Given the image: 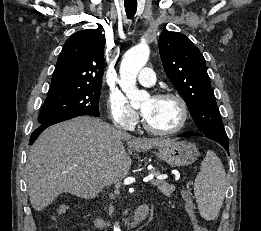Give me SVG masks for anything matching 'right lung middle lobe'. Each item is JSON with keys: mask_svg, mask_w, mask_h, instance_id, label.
<instances>
[{"mask_svg": "<svg viewBox=\"0 0 261 231\" xmlns=\"http://www.w3.org/2000/svg\"><path fill=\"white\" fill-rule=\"evenodd\" d=\"M100 91V86L50 88L38 116V122L43 124L71 115L99 116Z\"/></svg>", "mask_w": 261, "mask_h": 231, "instance_id": "1", "label": "right lung middle lobe"}]
</instances>
